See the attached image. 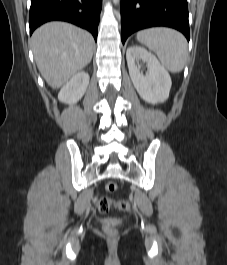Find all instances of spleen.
<instances>
[{
  "mask_svg": "<svg viewBox=\"0 0 227 265\" xmlns=\"http://www.w3.org/2000/svg\"><path fill=\"white\" fill-rule=\"evenodd\" d=\"M137 40L155 52L162 65L172 73L182 71L188 58L185 37L166 27L145 29L137 33Z\"/></svg>",
  "mask_w": 227,
  "mask_h": 265,
  "instance_id": "3e777b00",
  "label": "spleen"
}]
</instances>
